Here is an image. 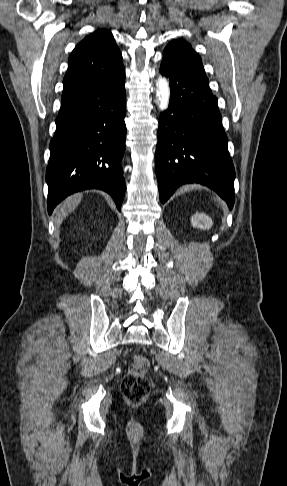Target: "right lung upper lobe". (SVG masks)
I'll list each match as a JSON object with an SVG mask.
<instances>
[{"label": "right lung upper lobe", "mask_w": 287, "mask_h": 486, "mask_svg": "<svg viewBox=\"0 0 287 486\" xmlns=\"http://www.w3.org/2000/svg\"><path fill=\"white\" fill-rule=\"evenodd\" d=\"M123 77L122 55L113 35L106 29L97 30L85 37L69 57L61 103Z\"/></svg>", "instance_id": "obj_1"}]
</instances>
